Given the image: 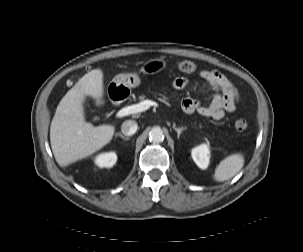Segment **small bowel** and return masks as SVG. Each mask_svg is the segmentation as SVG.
Segmentation results:
<instances>
[{"mask_svg":"<svg viewBox=\"0 0 303 252\" xmlns=\"http://www.w3.org/2000/svg\"><path fill=\"white\" fill-rule=\"evenodd\" d=\"M199 77L211 87L213 91L212 99L208 104H203L199 100L185 98L181 104L183 112L187 114L198 113L201 116L219 120L226 113L235 110L240 93L237 87L226 76L214 70H201ZM172 85L176 90H183L188 86V79L177 77L174 79Z\"/></svg>","mask_w":303,"mask_h":252,"instance_id":"small-bowel-1","label":"small bowel"}]
</instances>
